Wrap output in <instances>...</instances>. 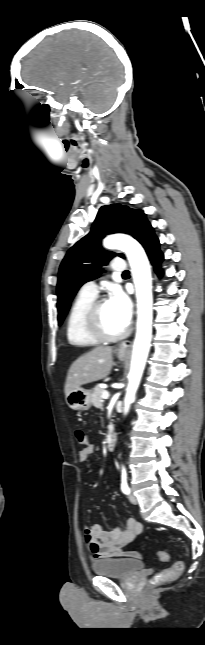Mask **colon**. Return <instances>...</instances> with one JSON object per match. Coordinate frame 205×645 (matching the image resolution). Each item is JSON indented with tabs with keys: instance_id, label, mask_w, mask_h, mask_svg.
Instances as JSON below:
<instances>
[{
	"instance_id": "5ec220e1",
	"label": "colon",
	"mask_w": 205,
	"mask_h": 645,
	"mask_svg": "<svg viewBox=\"0 0 205 645\" xmlns=\"http://www.w3.org/2000/svg\"><path fill=\"white\" fill-rule=\"evenodd\" d=\"M75 436L79 445L83 447L89 446V438L87 433L82 429H77L75 431ZM157 557L159 560L166 562L169 558L166 552H158ZM184 570V563L182 561H177L167 569L161 571L154 577L156 583L174 581L180 577Z\"/></svg>"
}]
</instances>
